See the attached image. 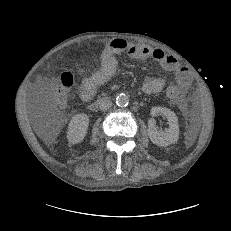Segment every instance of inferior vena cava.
<instances>
[{
  "label": "inferior vena cava",
  "mask_w": 231,
  "mask_h": 231,
  "mask_svg": "<svg viewBox=\"0 0 231 231\" xmlns=\"http://www.w3.org/2000/svg\"><path fill=\"white\" fill-rule=\"evenodd\" d=\"M99 108L102 111H106L112 106V102L108 99L102 98L98 100Z\"/></svg>",
  "instance_id": "602c4592"
}]
</instances>
